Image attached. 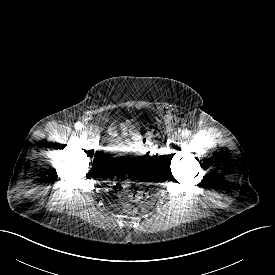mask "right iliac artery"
Segmentation results:
<instances>
[{"label":"right iliac artery","instance_id":"right-iliac-artery-1","mask_svg":"<svg viewBox=\"0 0 275 275\" xmlns=\"http://www.w3.org/2000/svg\"><path fill=\"white\" fill-rule=\"evenodd\" d=\"M84 126H83V124L82 123H76L75 124V129H77V130H82V128H83Z\"/></svg>","mask_w":275,"mask_h":275}]
</instances>
